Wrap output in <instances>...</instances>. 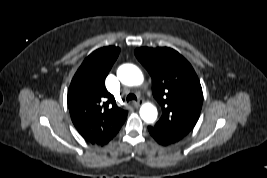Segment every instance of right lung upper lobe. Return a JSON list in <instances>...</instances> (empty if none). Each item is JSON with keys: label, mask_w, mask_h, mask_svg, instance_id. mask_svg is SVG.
Masks as SVG:
<instances>
[{"label": "right lung upper lobe", "mask_w": 267, "mask_h": 178, "mask_svg": "<svg viewBox=\"0 0 267 178\" xmlns=\"http://www.w3.org/2000/svg\"><path fill=\"white\" fill-rule=\"evenodd\" d=\"M120 49L108 46L92 52L75 73L68 89L71 119L81 136L103 146L120 130L127 111L116 105L105 87V79Z\"/></svg>", "instance_id": "obj_1"}]
</instances>
